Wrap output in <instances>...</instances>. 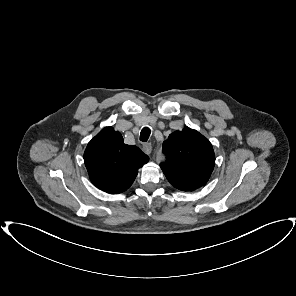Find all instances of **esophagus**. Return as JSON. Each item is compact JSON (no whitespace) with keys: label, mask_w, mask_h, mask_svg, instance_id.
I'll return each mask as SVG.
<instances>
[{"label":"esophagus","mask_w":296,"mask_h":296,"mask_svg":"<svg viewBox=\"0 0 296 296\" xmlns=\"http://www.w3.org/2000/svg\"><path fill=\"white\" fill-rule=\"evenodd\" d=\"M142 150H143L144 153H146V154H150L151 151H152V146H151V144H150V143H144V144L142 145Z\"/></svg>","instance_id":"1"}]
</instances>
